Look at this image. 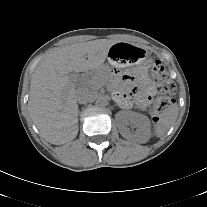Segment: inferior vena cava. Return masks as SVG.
<instances>
[{"instance_id": "1", "label": "inferior vena cava", "mask_w": 207, "mask_h": 207, "mask_svg": "<svg viewBox=\"0 0 207 207\" xmlns=\"http://www.w3.org/2000/svg\"><path fill=\"white\" fill-rule=\"evenodd\" d=\"M93 99H94V93L90 89L86 87H82L77 90L76 100L79 104L89 103L93 101Z\"/></svg>"}]
</instances>
